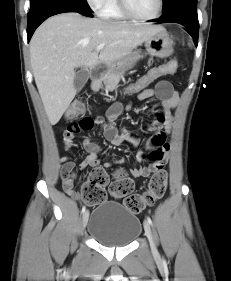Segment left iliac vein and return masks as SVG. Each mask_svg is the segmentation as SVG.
Returning <instances> with one entry per match:
<instances>
[{
  "mask_svg": "<svg viewBox=\"0 0 231 281\" xmlns=\"http://www.w3.org/2000/svg\"><path fill=\"white\" fill-rule=\"evenodd\" d=\"M144 230H145V234H146V236H147V238L150 242L151 250L154 254H156L157 248H156V245H155V241H154V238H153V234H152L150 224L147 221L144 222Z\"/></svg>",
  "mask_w": 231,
  "mask_h": 281,
  "instance_id": "4c4485c4",
  "label": "left iliac vein"
}]
</instances>
